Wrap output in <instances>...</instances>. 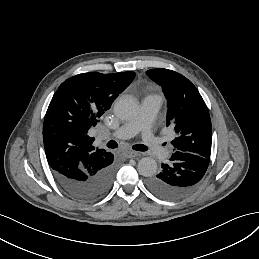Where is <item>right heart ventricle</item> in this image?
I'll use <instances>...</instances> for the list:
<instances>
[{
  "mask_svg": "<svg viewBox=\"0 0 259 259\" xmlns=\"http://www.w3.org/2000/svg\"><path fill=\"white\" fill-rule=\"evenodd\" d=\"M155 94H159V90L154 89V90L150 91V92L147 94V96L155 95Z\"/></svg>",
  "mask_w": 259,
  "mask_h": 259,
  "instance_id": "obj_1",
  "label": "right heart ventricle"
}]
</instances>
